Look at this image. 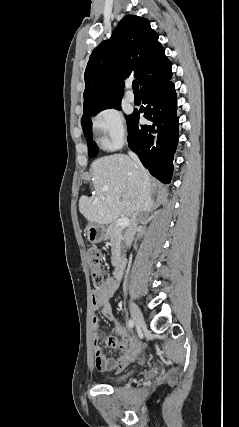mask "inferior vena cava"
I'll return each instance as SVG.
<instances>
[{"label": "inferior vena cava", "mask_w": 239, "mask_h": 427, "mask_svg": "<svg viewBox=\"0 0 239 427\" xmlns=\"http://www.w3.org/2000/svg\"><path fill=\"white\" fill-rule=\"evenodd\" d=\"M129 156L134 161L135 167L141 176V182L139 196L135 204L131 223L124 235L125 245L127 247L131 246L138 223L142 220L145 213L150 210L153 204L150 196V182L145 169L143 168L138 156L134 152L129 151Z\"/></svg>", "instance_id": "inferior-vena-cava-1"}]
</instances>
